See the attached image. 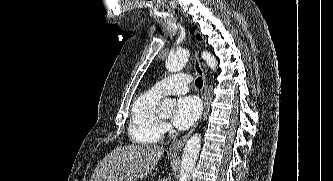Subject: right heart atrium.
Listing matches in <instances>:
<instances>
[{
  "mask_svg": "<svg viewBox=\"0 0 333 181\" xmlns=\"http://www.w3.org/2000/svg\"><path fill=\"white\" fill-rule=\"evenodd\" d=\"M170 130L169 125L166 122L161 123V131L162 133H167Z\"/></svg>",
  "mask_w": 333,
  "mask_h": 181,
  "instance_id": "right-heart-atrium-1",
  "label": "right heart atrium"
}]
</instances>
